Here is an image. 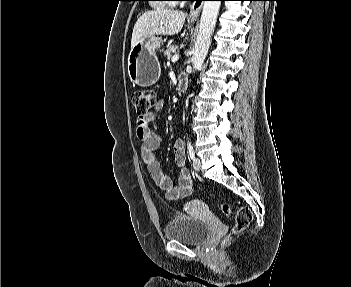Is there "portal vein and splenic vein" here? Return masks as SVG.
<instances>
[{
    "mask_svg": "<svg viewBox=\"0 0 351 287\" xmlns=\"http://www.w3.org/2000/svg\"><path fill=\"white\" fill-rule=\"evenodd\" d=\"M178 59H179V54H175L171 60H172V62H176V61H178Z\"/></svg>",
    "mask_w": 351,
    "mask_h": 287,
    "instance_id": "18ae733b",
    "label": "portal vein and splenic vein"
}]
</instances>
